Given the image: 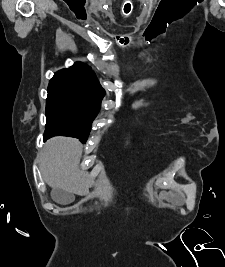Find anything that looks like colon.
Masks as SVG:
<instances>
[{
  "label": "colon",
  "mask_w": 225,
  "mask_h": 267,
  "mask_svg": "<svg viewBox=\"0 0 225 267\" xmlns=\"http://www.w3.org/2000/svg\"><path fill=\"white\" fill-rule=\"evenodd\" d=\"M131 7H132V5L129 3L125 4V14L128 15L130 13Z\"/></svg>",
  "instance_id": "colon-1"
}]
</instances>
